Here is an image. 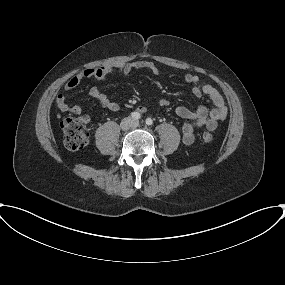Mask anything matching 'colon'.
<instances>
[{
	"mask_svg": "<svg viewBox=\"0 0 285 285\" xmlns=\"http://www.w3.org/2000/svg\"><path fill=\"white\" fill-rule=\"evenodd\" d=\"M61 129L64 135L65 146L70 150H79L84 148L89 140V132L86 127L85 117L67 116L61 121ZM202 140L209 143L213 140V134L210 131L202 133Z\"/></svg>",
	"mask_w": 285,
	"mask_h": 285,
	"instance_id": "5ec220e1",
	"label": "colon"
}]
</instances>
